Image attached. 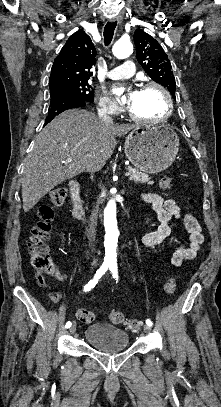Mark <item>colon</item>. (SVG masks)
I'll use <instances>...</instances> for the list:
<instances>
[{
    "label": "colon",
    "mask_w": 221,
    "mask_h": 407,
    "mask_svg": "<svg viewBox=\"0 0 221 407\" xmlns=\"http://www.w3.org/2000/svg\"><path fill=\"white\" fill-rule=\"evenodd\" d=\"M173 180L165 176L160 180V186L163 189H169ZM49 203L43 204L38 208V221L32 228L31 237L28 246L31 254V263L35 271L39 274L55 275L56 268L53 264L47 242L52 233V221L54 218L53 207L62 206L67 199V189L65 187H54L49 193ZM178 261H184L178 258ZM164 291L168 295H173L176 291V281L173 277L165 280ZM108 319L114 324H123L128 330L139 332L142 322L134 318H126L120 311L111 310L107 313ZM76 318L84 324L91 323L94 320V313L87 309H78Z\"/></svg>",
    "instance_id": "1"
}]
</instances>
